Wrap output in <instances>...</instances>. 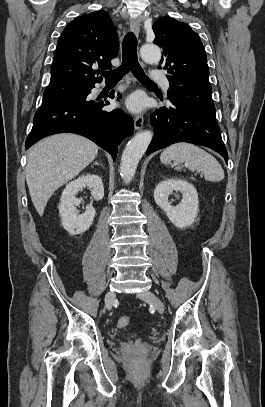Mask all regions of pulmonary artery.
Segmentation results:
<instances>
[{
	"label": "pulmonary artery",
	"mask_w": 265,
	"mask_h": 407,
	"mask_svg": "<svg viewBox=\"0 0 265 407\" xmlns=\"http://www.w3.org/2000/svg\"><path fill=\"white\" fill-rule=\"evenodd\" d=\"M152 80L155 83L161 84L165 89L169 88V83L166 76L160 71H154L152 73Z\"/></svg>",
	"instance_id": "1"
}]
</instances>
